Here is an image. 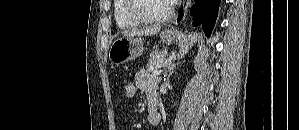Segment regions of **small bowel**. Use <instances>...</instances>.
I'll use <instances>...</instances> for the list:
<instances>
[{
  "label": "small bowel",
  "mask_w": 299,
  "mask_h": 130,
  "mask_svg": "<svg viewBox=\"0 0 299 130\" xmlns=\"http://www.w3.org/2000/svg\"><path fill=\"white\" fill-rule=\"evenodd\" d=\"M135 82L139 89L145 91L147 96L155 93V79L152 78L145 69H141L135 75ZM148 121L151 125L156 126L159 124L160 117L152 118L148 115Z\"/></svg>",
  "instance_id": "small-bowel-1"
}]
</instances>
